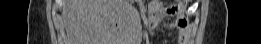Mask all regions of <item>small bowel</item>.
Listing matches in <instances>:
<instances>
[{
    "label": "small bowel",
    "mask_w": 261,
    "mask_h": 44,
    "mask_svg": "<svg viewBox=\"0 0 261 44\" xmlns=\"http://www.w3.org/2000/svg\"><path fill=\"white\" fill-rule=\"evenodd\" d=\"M166 16H175L174 21L165 24L166 29L176 30L177 44H184L187 42L190 35V23L188 18V11L185 6H172L170 8L159 0H153L149 4L148 21L151 24L161 23Z\"/></svg>",
    "instance_id": "1"
}]
</instances>
